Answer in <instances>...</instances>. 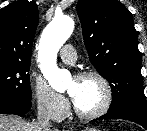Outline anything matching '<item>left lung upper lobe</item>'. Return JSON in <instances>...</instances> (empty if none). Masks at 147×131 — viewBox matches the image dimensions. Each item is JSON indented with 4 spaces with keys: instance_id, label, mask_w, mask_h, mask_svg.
<instances>
[{
    "instance_id": "left-lung-upper-lobe-1",
    "label": "left lung upper lobe",
    "mask_w": 147,
    "mask_h": 131,
    "mask_svg": "<svg viewBox=\"0 0 147 131\" xmlns=\"http://www.w3.org/2000/svg\"><path fill=\"white\" fill-rule=\"evenodd\" d=\"M77 13L90 62L111 86L108 111L147 110L138 37L129 10L118 0H79Z\"/></svg>"
}]
</instances>
